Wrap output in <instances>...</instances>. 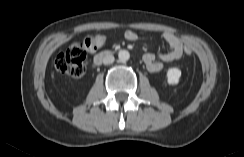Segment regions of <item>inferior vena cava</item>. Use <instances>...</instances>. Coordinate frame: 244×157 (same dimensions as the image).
<instances>
[{
  "label": "inferior vena cava",
  "mask_w": 244,
  "mask_h": 157,
  "mask_svg": "<svg viewBox=\"0 0 244 157\" xmlns=\"http://www.w3.org/2000/svg\"><path fill=\"white\" fill-rule=\"evenodd\" d=\"M115 58L111 54H107L103 57V64L108 65L114 62Z\"/></svg>",
  "instance_id": "1"
}]
</instances>
